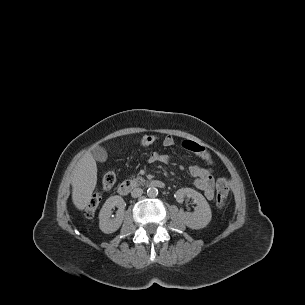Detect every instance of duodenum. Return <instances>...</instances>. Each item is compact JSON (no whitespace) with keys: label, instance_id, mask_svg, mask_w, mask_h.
Wrapping results in <instances>:
<instances>
[{"label":"duodenum","instance_id":"duodenum-1","mask_svg":"<svg viewBox=\"0 0 305 305\" xmlns=\"http://www.w3.org/2000/svg\"><path fill=\"white\" fill-rule=\"evenodd\" d=\"M149 186L156 187V188H163L165 186V183L161 180H152L149 182ZM132 188H133V185L130 181H123L118 186V193L121 196H126L131 192Z\"/></svg>","mask_w":305,"mask_h":305}]
</instances>
